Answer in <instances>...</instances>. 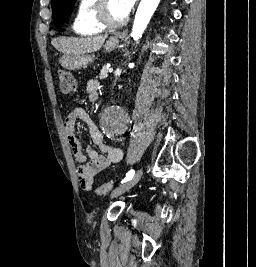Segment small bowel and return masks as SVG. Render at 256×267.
Masks as SVG:
<instances>
[{"mask_svg":"<svg viewBox=\"0 0 256 267\" xmlns=\"http://www.w3.org/2000/svg\"><path fill=\"white\" fill-rule=\"evenodd\" d=\"M86 92L90 102H96L100 95V83L91 79L86 84ZM82 120L88 128L93 143L100 149L101 153L91 147L83 146L77 133L76 122ZM64 130L72 151L80 164L76 173L82 188L90 191L93 188L94 177L111 164L121 161L123 152L121 149L107 144L101 132L91 117L82 109H73L65 119Z\"/></svg>","mask_w":256,"mask_h":267,"instance_id":"1","label":"small bowel"}]
</instances>
